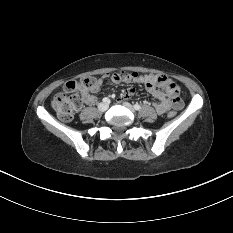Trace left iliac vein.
<instances>
[{
  "mask_svg": "<svg viewBox=\"0 0 233 233\" xmlns=\"http://www.w3.org/2000/svg\"><path fill=\"white\" fill-rule=\"evenodd\" d=\"M123 105H124L126 108H128L130 111L135 112L133 106H132L130 103L124 102Z\"/></svg>",
  "mask_w": 233,
  "mask_h": 233,
  "instance_id": "left-iliac-vein-1",
  "label": "left iliac vein"
}]
</instances>
